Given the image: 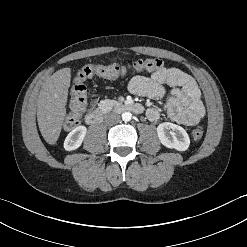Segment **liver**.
Masks as SVG:
<instances>
[{
  "mask_svg": "<svg viewBox=\"0 0 247 247\" xmlns=\"http://www.w3.org/2000/svg\"><path fill=\"white\" fill-rule=\"evenodd\" d=\"M70 68L56 71L42 86L37 105V121L44 140L54 145L60 135L66 116Z\"/></svg>",
  "mask_w": 247,
  "mask_h": 247,
  "instance_id": "6515ba94",
  "label": "liver"
}]
</instances>
